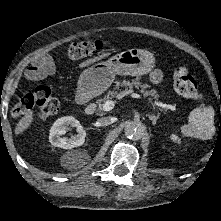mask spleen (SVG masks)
I'll use <instances>...</instances> for the list:
<instances>
[{"label":"spleen","mask_w":221,"mask_h":221,"mask_svg":"<svg viewBox=\"0 0 221 221\" xmlns=\"http://www.w3.org/2000/svg\"><path fill=\"white\" fill-rule=\"evenodd\" d=\"M214 116L211 106L195 108L188 116V123L180 127L181 134L202 140L211 139L215 134Z\"/></svg>","instance_id":"3e777b00"}]
</instances>
